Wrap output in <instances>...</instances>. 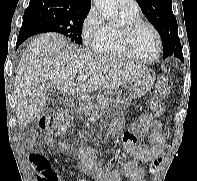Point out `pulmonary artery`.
I'll return each mask as SVG.
<instances>
[{
	"mask_svg": "<svg viewBox=\"0 0 197 181\" xmlns=\"http://www.w3.org/2000/svg\"><path fill=\"white\" fill-rule=\"evenodd\" d=\"M118 6L120 10L135 11L139 9L136 0H118Z\"/></svg>",
	"mask_w": 197,
	"mask_h": 181,
	"instance_id": "pulmonary-artery-1",
	"label": "pulmonary artery"
}]
</instances>
